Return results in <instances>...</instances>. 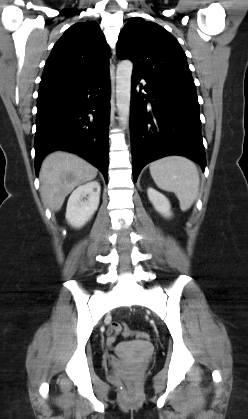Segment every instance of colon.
<instances>
[{"label": "colon", "instance_id": "colon-1", "mask_svg": "<svg viewBox=\"0 0 248 419\" xmlns=\"http://www.w3.org/2000/svg\"><path fill=\"white\" fill-rule=\"evenodd\" d=\"M111 331L113 337H115L116 333H121L125 337H136L140 340L148 341L150 340V336L148 333L143 331H132L130 330L125 324L122 323H113L111 326Z\"/></svg>", "mask_w": 248, "mask_h": 419}]
</instances>
